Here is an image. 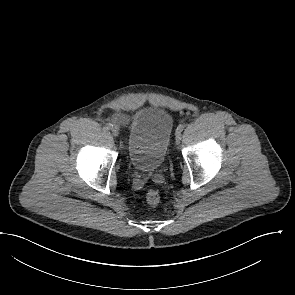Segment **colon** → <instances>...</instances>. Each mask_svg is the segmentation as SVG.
Listing matches in <instances>:
<instances>
[{
  "label": "colon",
  "instance_id": "1",
  "mask_svg": "<svg viewBox=\"0 0 295 295\" xmlns=\"http://www.w3.org/2000/svg\"><path fill=\"white\" fill-rule=\"evenodd\" d=\"M147 203L151 206H155L160 201L159 193L156 190H149L146 194Z\"/></svg>",
  "mask_w": 295,
  "mask_h": 295
}]
</instances>
